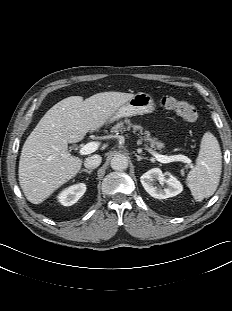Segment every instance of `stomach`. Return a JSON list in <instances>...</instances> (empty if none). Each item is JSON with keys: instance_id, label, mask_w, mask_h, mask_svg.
Segmentation results:
<instances>
[{"instance_id": "1", "label": "stomach", "mask_w": 232, "mask_h": 311, "mask_svg": "<svg viewBox=\"0 0 232 311\" xmlns=\"http://www.w3.org/2000/svg\"><path fill=\"white\" fill-rule=\"evenodd\" d=\"M155 110L153 98L144 92L135 94L125 104L120 106L117 111L110 117L109 122H113L122 117H131L151 113Z\"/></svg>"}]
</instances>
